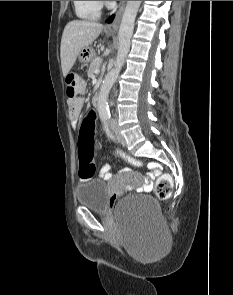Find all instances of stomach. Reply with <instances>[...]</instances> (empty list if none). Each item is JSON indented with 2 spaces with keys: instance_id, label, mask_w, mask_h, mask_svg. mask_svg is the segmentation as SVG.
Instances as JSON below:
<instances>
[{
  "instance_id": "0dacf381",
  "label": "stomach",
  "mask_w": 233,
  "mask_h": 295,
  "mask_svg": "<svg viewBox=\"0 0 233 295\" xmlns=\"http://www.w3.org/2000/svg\"><path fill=\"white\" fill-rule=\"evenodd\" d=\"M94 53L90 47H84L78 54L81 63H87L93 60Z\"/></svg>"
}]
</instances>
